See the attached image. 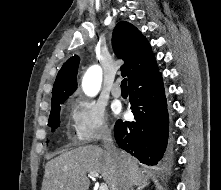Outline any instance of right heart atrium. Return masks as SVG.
Listing matches in <instances>:
<instances>
[{
    "label": "right heart atrium",
    "instance_id": "1",
    "mask_svg": "<svg viewBox=\"0 0 221 190\" xmlns=\"http://www.w3.org/2000/svg\"><path fill=\"white\" fill-rule=\"evenodd\" d=\"M71 119L75 138L80 144L96 142L110 133L104 108L93 100L74 98L71 101Z\"/></svg>",
    "mask_w": 221,
    "mask_h": 190
}]
</instances>
